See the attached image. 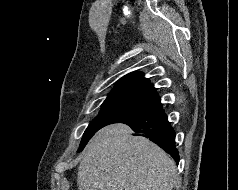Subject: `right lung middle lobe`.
Here are the masks:
<instances>
[{
    "mask_svg": "<svg viewBox=\"0 0 238 190\" xmlns=\"http://www.w3.org/2000/svg\"><path fill=\"white\" fill-rule=\"evenodd\" d=\"M154 106L153 103L131 97L107 98L102 104L100 113L85 130L78 151H82L90 138L104 126L123 123L145 113Z\"/></svg>",
    "mask_w": 238,
    "mask_h": 190,
    "instance_id": "right-lung-middle-lobe-1",
    "label": "right lung middle lobe"
}]
</instances>
